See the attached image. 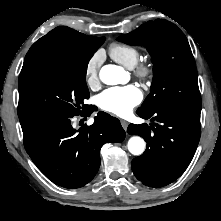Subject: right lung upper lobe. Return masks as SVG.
Instances as JSON below:
<instances>
[{"mask_svg":"<svg viewBox=\"0 0 221 221\" xmlns=\"http://www.w3.org/2000/svg\"><path fill=\"white\" fill-rule=\"evenodd\" d=\"M104 41L105 37L87 36L65 26L57 27L31 46L25 56L19 82L53 59L73 50L92 48L97 51Z\"/></svg>","mask_w":221,"mask_h":221,"instance_id":"right-lung-upper-lobe-1","label":"right lung upper lobe"}]
</instances>
